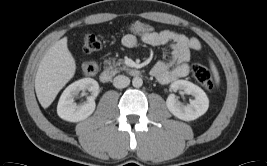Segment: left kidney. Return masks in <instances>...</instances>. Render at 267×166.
<instances>
[{
    "label": "left kidney",
    "instance_id": "1",
    "mask_svg": "<svg viewBox=\"0 0 267 166\" xmlns=\"http://www.w3.org/2000/svg\"><path fill=\"white\" fill-rule=\"evenodd\" d=\"M170 88L173 91L183 90L184 93L194 97L189 103L183 104L174 94L168 96L166 106L177 118L184 121L195 120L208 110L209 99L197 85L186 80H177L171 84Z\"/></svg>",
    "mask_w": 267,
    "mask_h": 166
}]
</instances>
